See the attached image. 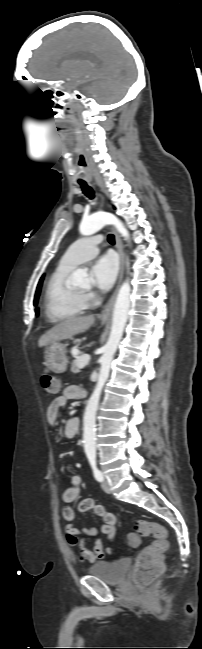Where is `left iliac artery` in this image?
Segmentation results:
<instances>
[{
  "mask_svg": "<svg viewBox=\"0 0 202 649\" xmlns=\"http://www.w3.org/2000/svg\"><path fill=\"white\" fill-rule=\"evenodd\" d=\"M88 459H89L90 465H91V467H92V470H93V474H94L95 479H96L97 481H99V482H102L104 478H103V474H102V472L97 468V465H96V457H95L94 455H90V456L88 457Z\"/></svg>",
  "mask_w": 202,
  "mask_h": 649,
  "instance_id": "44dca946",
  "label": "left iliac artery"
}]
</instances>
